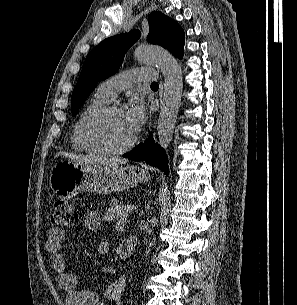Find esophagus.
<instances>
[{
    "label": "esophagus",
    "instance_id": "1",
    "mask_svg": "<svg viewBox=\"0 0 297 305\" xmlns=\"http://www.w3.org/2000/svg\"><path fill=\"white\" fill-rule=\"evenodd\" d=\"M160 99L162 98V95H163V84L161 82V87H160Z\"/></svg>",
    "mask_w": 297,
    "mask_h": 305
}]
</instances>
